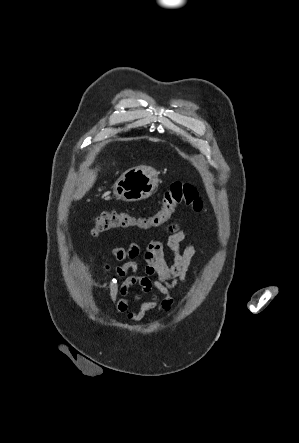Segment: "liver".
<instances>
[{
  "label": "liver",
  "mask_w": 299,
  "mask_h": 443,
  "mask_svg": "<svg viewBox=\"0 0 299 443\" xmlns=\"http://www.w3.org/2000/svg\"><path fill=\"white\" fill-rule=\"evenodd\" d=\"M97 171L98 169L95 168L80 178L77 190L74 194V200H80L92 188L96 181Z\"/></svg>",
  "instance_id": "6515ba94"
}]
</instances>
